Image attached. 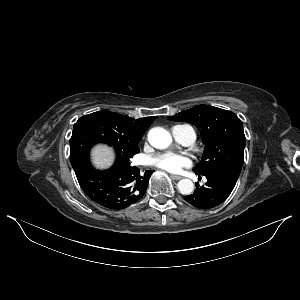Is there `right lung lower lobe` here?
Segmentation results:
<instances>
[{
	"mask_svg": "<svg viewBox=\"0 0 300 300\" xmlns=\"http://www.w3.org/2000/svg\"><path fill=\"white\" fill-rule=\"evenodd\" d=\"M79 185L95 203L108 209L120 210L138 202L146 192L153 173L147 170L140 174L136 166L117 159L112 168L97 171L89 159L73 167Z\"/></svg>",
	"mask_w": 300,
	"mask_h": 300,
	"instance_id": "right-lung-lower-lobe-1",
	"label": "right lung lower lobe"
}]
</instances>
